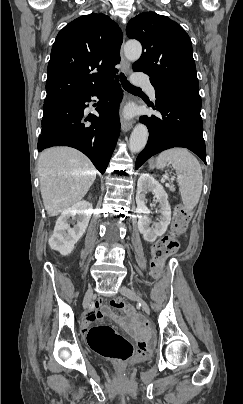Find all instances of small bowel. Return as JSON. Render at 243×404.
<instances>
[{"mask_svg":"<svg viewBox=\"0 0 243 404\" xmlns=\"http://www.w3.org/2000/svg\"><path fill=\"white\" fill-rule=\"evenodd\" d=\"M101 306L99 302L93 304L90 312L85 315L81 322V328L83 332H87L89 326L96 320L101 319L102 312L100 310Z\"/></svg>","mask_w":243,"mask_h":404,"instance_id":"small-bowel-1","label":"small bowel"}]
</instances>
